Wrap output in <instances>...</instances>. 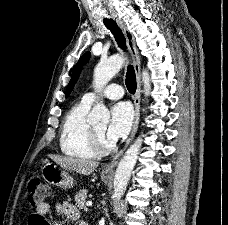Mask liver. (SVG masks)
I'll list each match as a JSON object with an SVG mask.
<instances>
[{
	"label": "liver",
	"mask_w": 228,
	"mask_h": 225,
	"mask_svg": "<svg viewBox=\"0 0 228 225\" xmlns=\"http://www.w3.org/2000/svg\"><path fill=\"white\" fill-rule=\"evenodd\" d=\"M56 165H60L66 171H75L79 175H90L97 169V161H85V159H73V157H60V155H48Z\"/></svg>",
	"instance_id": "obj_1"
}]
</instances>
